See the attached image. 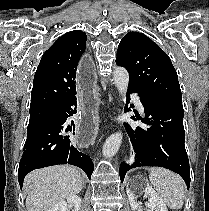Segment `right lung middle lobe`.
Wrapping results in <instances>:
<instances>
[{
  "mask_svg": "<svg viewBox=\"0 0 209 211\" xmlns=\"http://www.w3.org/2000/svg\"><path fill=\"white\" fill-rule=\"evenodd\" d=\"M52 109L30 112V120L27 128V135L34 131L49 115Z\"/></svg>",
  "mask_w": 209,
  "mask_h": 211,
  "instance_id": "dd1d6c3e",
  "label": "right lung middle lobe"
}]
</instances>
